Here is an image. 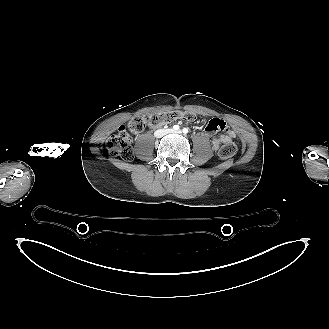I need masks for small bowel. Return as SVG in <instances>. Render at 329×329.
<instances>
[{
    "label": "small bowel",
    "mask_w": 329,
    "mask_h": 329,
    "mask_svg": "<svg viewBox=\"0 0 329 329\" xmlns=\"http://www.w3.org/2000/svg\"><path fill=\"white\" fill-rule=\"evenodd\" d=\"M204 135L212 137V146L217 149L223 141L233 139L235 132L223 120L214 118L206 125Z\"/></svg>",
    "instance_id": "obj_1"
}]
</instances>
